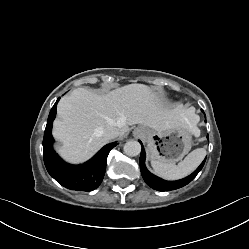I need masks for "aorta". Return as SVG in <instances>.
<instances>
[{"instance_id": "obj_1", "label": "aorta", "mask_w": 249, "mask_h": 249, "mask_svg": "<svg viewBox=\"0 0 249 249\" xmlns=\"http://www.w3.org/2000/svg\"><path fill=\"white\" fill-rule=\"evenodd\" d=\"M124 153L128 156H137L141 152V145L138 141H128L124 145Z\"/></svg>"}]
</instances>
